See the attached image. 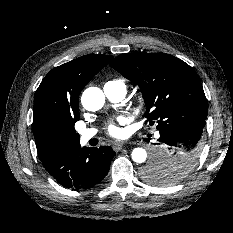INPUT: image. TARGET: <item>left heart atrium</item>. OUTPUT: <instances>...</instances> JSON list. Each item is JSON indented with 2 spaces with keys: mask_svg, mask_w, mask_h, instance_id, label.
Here are the masks:
<instances>
[{
  "mask_svg": "<svg viewBox=\"0 0 233 233\" xmlns=\"http://www.w3.org/2000/svg\"><path fill=\"white\" fill-rule=\"evenodd\" d=\"M108 133L113 137H119L121 135V130L114 123L109 124Z\"/></svg>",
  "mask_w": 233,
  "mask_h": 233,
  "instance_id": "39dd6f15",
  "label": "left heart atrium"
}]
</instances>
